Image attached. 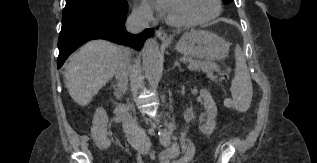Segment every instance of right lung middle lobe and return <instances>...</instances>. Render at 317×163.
Returning a JSON list of instances; mask_svg holds the SVG:
<instances>
[{"mask_svg":"<svg viewBox=\"0 0 317 163\" xmlns=\"http://www.w3.org/2000/svg\"><path fill=\"white\" fill-rule=\"evenodd\" d=\"M128 8L126 0H66L62 24L73 22L101 11Z\"/></svg>","mask_w":317,"mask_h":163,"instance_id":"right-lung-middle-lobe-1","label":"right lung middle lobe"}]
</instances>
